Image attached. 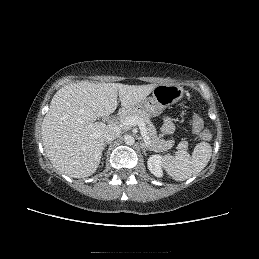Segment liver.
I'll use <instances>...</instances> for the list:
<instances>
[{"mask_svg":"<svg viewBox=\"0 0 259 259\" xmlns=\"http://www.w3.org/2000/svg\"><path fill=\"white\" fill-rule=\"evenodd\" d=\"M156 84L125 85L81 81L65 85L53 96L42 127L45 152L55 168L74 178L92 175L98 168L106 125L95 122L118 106L134 108Z\"/></svg>","mask_w":259,"mask_h":259,"instance_id":"1","label":"liver"}]
</instances>
